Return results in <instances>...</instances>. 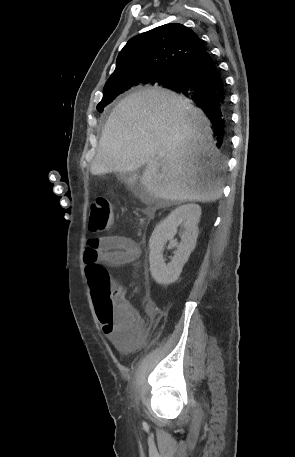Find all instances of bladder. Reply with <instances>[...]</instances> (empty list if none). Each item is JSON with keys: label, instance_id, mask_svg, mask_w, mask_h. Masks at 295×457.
<instances>
[{"label": "bladder", "instance_id": "bladder-1", "mask_svg": "<svg viewBox=\"0 0 295 457\" xmlns=\"http://www.w3.org/2000/svg\"><path fill=\"white\" fill-rule=\"evenodd\" d=\"M109 347H121V356H138L140 338H109Z\"/></svg>", "mask_w": 295, "mask_h": 457}]
</instances>
